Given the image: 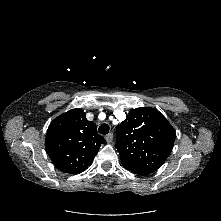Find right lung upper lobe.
Returning a JSON list of instances; mask_svg holds the SVG:
<instances>
[{
  "label": "right lung upper lobe",
  "mask_w": 221,
  "mask_h": 221,
  "mask_svg": "<svg viewBox=\"0 0 221 221\" xmlns=\"http://www.w3.org/2000/svg\"><path fill=\"white\" fill-rule=\"evenodd\" d=\"M106 140L96 124L81 109H72L54 119L48 127L46 150L55 166L64 173L83 172Z\"/></svg>",
  "instance_id": "right-lung-upper-lobe-1"
}]
</instances>
